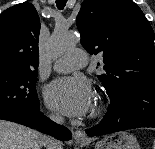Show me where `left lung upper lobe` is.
I'll return each mask as SVG.
<instances>
[{
    "mask_svg": "<svg viewBox=\"0 0 155 149\" xmlns=\"http://www.w3.org/2000/svg\"><path fill=\"white\" fill-rule=\"evenodd\" d=\"M81 44L103 55L105 74L98 75L108 95L155 81L154 31L131 0H84L77 16Z\"/></svg>",
    "mask_w": 155,
    "mask_h": 149,
    "instance_id": "obj_1",
    "label": "left lung upper lobe"
}]
</instances>
